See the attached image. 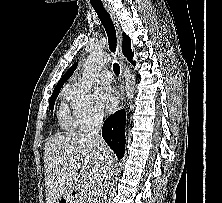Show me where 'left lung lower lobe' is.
<instances>
[{
	"instance_id": "0a47b994",
	"label": "left lung lower lobe",
	"mask_w": 222,
	"mask_h": 203,
	"mask_svg": "<svg viewBox=\"0 0 222 203\" xmlns=\"http://www.w3.org/2000/svg\"><path fill=\"white\" fill-rule=\"evenodd\" d=\"M132 58H133V55L131 57L128 58V60L133 64L135 65V61H132Z\"/></svg>"
}]
</instances>
